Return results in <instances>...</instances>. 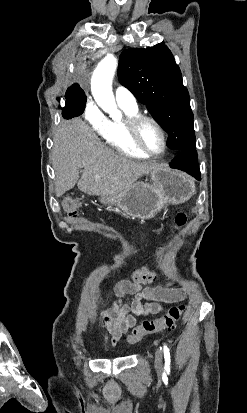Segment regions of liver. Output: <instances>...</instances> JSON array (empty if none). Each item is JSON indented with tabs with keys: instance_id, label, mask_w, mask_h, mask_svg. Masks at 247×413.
I'll return each instance as SVG.
<instances>
[{
	"instance_id": "obj_1",
	"label": "liver",
	"mask_w": 247,
	"mask_h": 413,
	"mask_svg": "<svg viewBox=\"0 0 247 413\" xmlns=\"http://www.w3.org/2000/svg\"><path fill=\"white\" fill-rule=\"evenodd\" d=\"M53 140L56 196L76 182L87 194H120L156 166L112 150L82 118L62 120ZM79 168H83L81 178Z\"/></svg>"
}]
</instances>
